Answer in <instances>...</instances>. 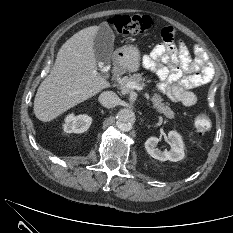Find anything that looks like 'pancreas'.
Masks as SVG:
<instances>
[{"mask_svg": "<svg viewBox=\"0 0 233 233\" xmlns=\"http://www.w3.org/2000/svg\"><path fill=\"white\" fill-rule=\"evenodd\" d=\"M130 81L140 84L141 86H145V78L142 76V74L137 73V74H133L130 77L125 76L119 79L118 80L119 88L121 90H126L127 89L126 84ZM149 82H151V80H149ZM151 101L153 102V108L157 112L163 114L165 117L169 119H174L175 113L171 110V108L168 105L163 103V99L160 94L154 93L153 96L151 97Z\"/></svg>", "mask_w": 233, "mask_h": 233, "instance_id": "obj_1", "label": "pancreas"}]
</instances>
